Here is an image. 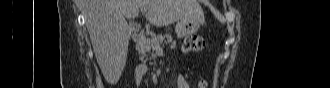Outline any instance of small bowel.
<instances>
[{
    "label": "small bowel",
    "mask_w": 330,
    "mask_h": 88,
    "mask_svg": "<svg viewBox=\"0 0 330 88\" xmlns=\"http://www.w3.org/2000/svg\"><path fill=\"white\" fill-rule=\"evenodd\" d=\"M189 84L187 80L182 76L179 75L177 78V88H189Z\"/></svg>",
    "instance_id": "small-bowel-1"
}]
</instances>
